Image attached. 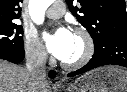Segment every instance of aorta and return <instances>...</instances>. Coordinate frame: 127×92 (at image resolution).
I'll use <instances>...</instances> for the list:
<instances>
[{
  "mask_svg": "<svg viewBox=\"0 0 127 92\" xmlns=\"http://www.w3.org/2000/svg\"><path fill=\"white\" fill-rule=\"evenodd\" d=\"M53 3V0H30L29 14L34 23L40 25L44 21V15L47 8Z\"/></svg>",
  "mask_w": 127,
  "mask_h": 92,
  "instance_id": "obj_1",
  "label": "aorta"
}]
</instances>
